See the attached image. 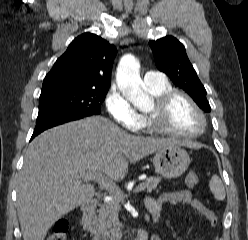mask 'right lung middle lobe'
Returning <instances> with one entry per match:
<instances>
[{"instance_id":"1","label":"right lung middle lobe","mask_w":248,"mask_h":240,"mask_svg":"<svg viewBox=\"0 0 248 240\" xmlns=\"http://www.w3.org/2000/svg\"><path fill=\"white\" fill-rule=\"evenodd\" d=\"M108 90L62 88L42 92L38 116H91L100 114Z\"/></svg>"}]
</instances>
